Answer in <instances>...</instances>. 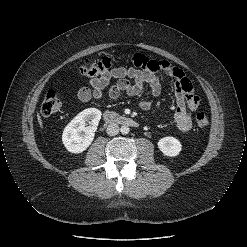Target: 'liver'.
<instances>
[{"instance_id":"liver-1","label":"liver","mask_w":247,"mask_h":247,"mask_svg":"<svg viewBox=\"0 0 247 247\" xmlns=\"http://www.w3.org/2000/svg\"><path fill=\"white\" fill-rule=\"evenodd\" d=\"M37 119H38V123H39L40 127L43 128V121H42V119H41L39 113H38V115H37Z\"/></svg>"}]
</instances>
